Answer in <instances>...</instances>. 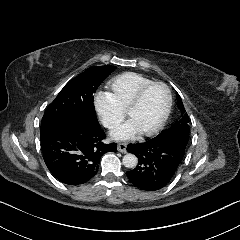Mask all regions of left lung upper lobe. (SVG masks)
I'll return each mask as SVG.
<instances>
[{
	"mask_svg": "<svg viewBox=\"0 0 240 240\" xmlns=\"http://www.w3.org/2000/svg\"><path fill=\"white\" fill-rule=\"evenodd\" d=\"M178 108L180 109V119L176 121L170 128L163 130L158 136H177L184 139L189 138V117L185 111L183 102L179 94H177ZM157 136V137H158Z\"/></svg>",
	"mask_w": 240,
	"mask_h": 240,
	"instance_id": "left-lung-upper-lobe-1",
	"label": "left lung upper lobe"
}]
</instances>
